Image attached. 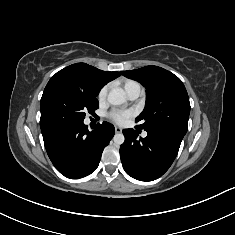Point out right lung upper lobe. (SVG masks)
Segmentation results:
<instances>
[{
  "instance_id": "obj_1",
  "label": "right lung upper lobe",
  "mask_w": 235,
  "mask_h": 235,
  "mask_svg": "<svg viewBox=\"0 0 235 235\" xmlns=\"http://www.w3.org/2000/svg\"><path fill=\"white\" fill-rule=\"evenodd\" d=\"M119 76V72L102 71L85 63L72 64L54 75L66 78L82 90L95 95L105 84Z\"/></svg>"
}]
</instances>
